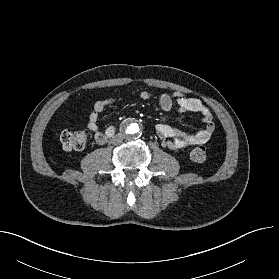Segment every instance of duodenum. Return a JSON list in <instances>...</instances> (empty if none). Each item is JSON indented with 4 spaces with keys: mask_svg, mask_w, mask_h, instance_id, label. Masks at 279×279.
Returning a JSON list of instances; mask_svg holds the SVG:
<instances>
[{
    "mask_svg": "<svg viewBox=\"0 0 279 279\" xmlns=\"http://www.w3.org/2000/svg\"><path fill=\"white\" fill-rule=\"evenodd\" d=\"M114 132H115L114 127L108 128L107 133H106L107 134V138L111 137L114 134Z\"/></svg>",
    "mask_w": 279,
    "mask_h": 279,
    "instance_id": "obj_1",
    "label": "duodenum"
}]
</instances>
